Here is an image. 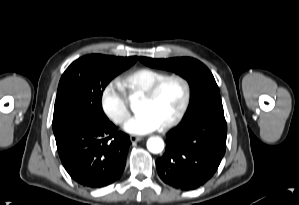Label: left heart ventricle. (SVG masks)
Wrapping results in <instances>:
<instances>
[{
  "label": "left heart ventricle",
  "instance_id": "b2bd125f",
  "mask_svg": "<svg viewBox=\"0 0 299 205\" xmlns=\"http://www.w3.org/2000/svg\"><path fill=\"white\" fill-rule=\"evenodd\" d=\"M184 96V90L178 81L168 82L158 95L151 101L139 100L136 111L148 113L153 116L160 125H163L178 112Z\"/></svg>",
  "mask_w": 299,
  "mask_h": 205
}]
</instances>
